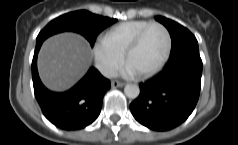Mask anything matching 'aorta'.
<instances>
[{
    "instance_id": "762f6f07",
    "label": "aorta",
    "mask_w": 238,
    "mask_h": 145,
    "mask_svg": "<svg viewBox=\"0 0 238 145\" xmlns=\"http://www.w3.org/2000/svg\"><path fill=\"white\" fill-rule=\"evenodd\" d=\"M125 95L130 99H135L140 94V88L136 84H127L124 88Z\"/></svg>"
}]
</instances>
